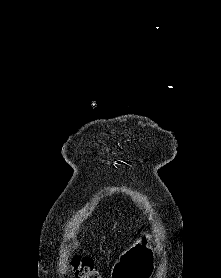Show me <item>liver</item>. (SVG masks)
Here are the masks:
<instances>
[{"mask_svg": "<svg viewBox=\"0 0 221 278\" xmlns=\"http://www.w3.org/2000/svg\"><path fill=\"white\" fill-rule=\"evenodd\" d=\"M75 245L77 246V245H78V242H75Z\"/></svg>", "mask_w": 221, "mask_h": 278, "instance_id": "1", "label": "liver"}]
</instances>
